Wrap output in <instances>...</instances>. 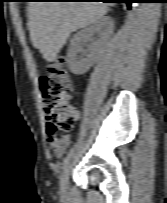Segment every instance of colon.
I'll use <instances>...</instances> for the list:
<instances>
[{
    "instance_id": "1",
    "label": "colon",
    "mask_w": 167,
    "mask_h": 203,
    "mask_svg": "<svg viewBox=\"0 0 167 203\" xmlns=\"http://www.w3.org/2000/svg\"><path fill=\"white\" fill-rule=\"evenodd\" d=\"M64 63L65 58L59 56L47 65V74L39 78L50 145L57 142L58 132H70L76 121L75 110L67 106L73 94V86Z\"/></svg>"
}]
</instances>
